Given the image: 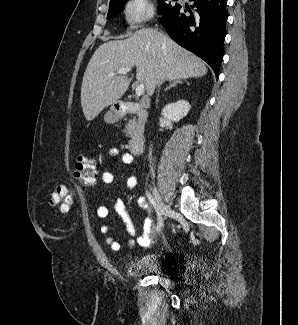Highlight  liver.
I'll return each instance as SVG.
<instances>
[{
  "mask_svg": "<svg viewBox=\"0 0 298 325\" xmlns=\"http://www.w3.org/2000/svg\"><path fill=\"white\" fill-rule=\"evenodd\" d=\"M132 66H136L137 82L144 84L148 94H153L160 78L178 80L207 72L201 58L156 28H140L124 40H108L96 48L83 74L80 98L86 120L118 102L129 88L126 74H108Z\"/></svg>",
  "mask_w": 298,
  "mask_h": 325,
  "instance_id": "6515ba94",
  "label": "liver"
}]
</instances>
